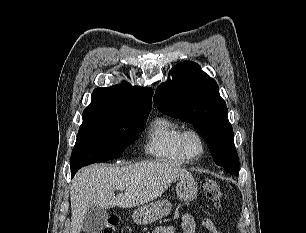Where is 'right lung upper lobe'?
I'll list each match as a JSON object with an SVG mask.
<instances>
[{"label":"right lung upper lobe","instance_id":"cb5924a9","mask_svg":"<svg viewBox=\"0 0 306 233\" xmlns=\"http://www.w3.org/2000/svg\"><path fill=\"white\" fill-rule=\"evenodd\" d=\"M152 89L132 86L127 82L92 93L91 104L84 111H113L124 114H149Z\"/></svg>","mask_w":306,"mask_h":233}]
</instances>
